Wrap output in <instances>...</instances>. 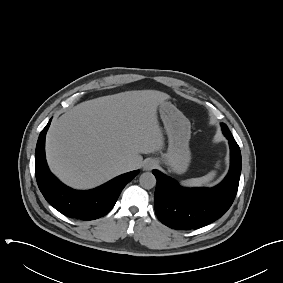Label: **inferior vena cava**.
Returning a JSON list of instances; mask_svg holds the SVG:
<instances>
[{
    "instance_id": "obj_1",
    "label": "inferior vena cava",
    "mask_w": 283,
    "mask_h": 283,
    "mask_svg": "<svg viewBox=\"0 0 283 283\" xmlns=\"http://www.w3.org/2000/svg\"><path fill=\"white\" fill-rule=\"evenodd\" d=\"M120 168L122 169L123 172H128L133 170V165L131 162L128 161H122L120 162Z\"/></svg>"
}]
</instances>
